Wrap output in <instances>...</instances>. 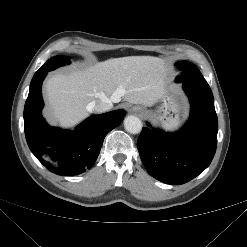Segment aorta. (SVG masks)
Wrapping results in <instances>:
<instances>
[{
	"label": "aorta",
	"mask_w": 247,
	"mask_h": 247,
	"mask_svg": "<svg viewBox=\"0 0 247 247\" xmlns=\"http://www.w3.org/2000/svg\"><path fill=\"white\" fill-rule=\"evenodd\" d=\"M124 127L127 132L138 134L142 130V122L137 116L130 115L125 118Z\"/></svg>",
	"instance_id": "obj_1"
}]
</instances>
